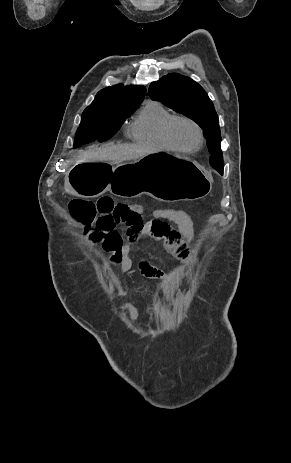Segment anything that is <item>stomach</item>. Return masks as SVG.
<instances>
[{
  "label": "stomach",
  "mask_w": 291,
  "mask_h": 463,
  "mask_svg": "<svg viewBox=\"0 0 291 463\" xmlns=\"http://www.w3.org/2000/svg\"><path fill=\"white\" fill-rule=\"evenodd\" d=\"M212 188L208 173L195 161L167 152H154L131 163L79 164L67 176L65 191L72 196L97 197L106 191L119 197L148 194L156 200H196Z\"/></svg>",
  "instance_id": "obj_1"
}]
</instances>
